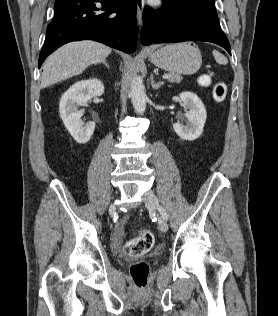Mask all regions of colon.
Here are the masks:
<instances>
[{
    "label": "colon",
    "mask_w": 278,
    "mask_h": 316,
    "mask_svg": "<svg viewBox=\"0 0 278 316\" xmlns=\"http://www.w3.org/2000/svg\"><path fill=\"white\" fill-rule=\"evenodd\" d=\"M201 85H209L207 76L200 78ZM227 95V86L224 82H216L212 85V96L215 101L222 102ZM154 244V236L148 230L140 231L124 246V253L130 257H140L146 254ZM130 274L136 287L144 288L148 282L149 267L145 262H137L130 268Z\"/></svg>",
    "instance_id": "obj_1"
}]
</instances>
